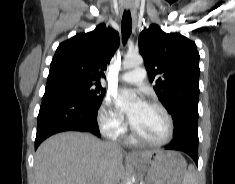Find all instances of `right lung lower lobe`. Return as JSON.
Listing matches in <instances>:
<instances>
[{
  "instance_id": "1",
  "label": "right lung lower lobe",
  "mask_w": 235,
  "mask_h": 184,
  "mask_svg": "<svg viewBox=\"0 0 235 184\" xmlns=\"http://www.w3.org/2000/svg\"><path fill=\"white\" fill-rule=\"evenodd\" d=\"M99 107L61 86L46 88L38 115L35 150L46 138L59 132H89L100 137Z\"/></svg>"
}]
</instances>
